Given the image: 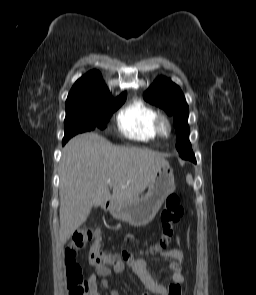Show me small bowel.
I'll return each mask as SVG.
<instances>
[{
	"label": "small bowel",
	"instance_id": "c3829d8e",
	"mask_svg": "<svg viewBox=\"0 0 256 295\" xmlns=\"http://www.w3.org/2000/svg\"><path fill=\"white\" fill-rule=\"evenodd\" d=\"M176 240L179 244L180 239L178 236ZM163 256L171 260L167 266L168 270L171 272V284L169 286H165L154 279L144 259L135 258L130 252L124 250L121 252L119 258H115L111 262L110 266L96 267L95 272L88 277V286L91 295H100L97 284L98 277L101 278V285L107 291L108 295H119L115 290L109 287L107 277L112 273L118 274L123 272L126 266L140 279L148 292L155 295H181V285L185 281L182 274L184 252L178 247L164 252Z\"/></svg>",
	"mask_w": 256,
	"mask_h": 295
}]
</instances>
